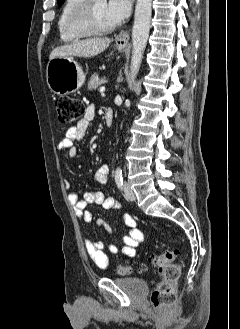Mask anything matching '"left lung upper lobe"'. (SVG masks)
<instances>
[{"label":"left lung upper lobe","instance_id":"1","mask_svg":"<svg viewBox=\"0 0 240 329\" xmlns=\"http://www.w3.org/2000/svg\"><path fill=\"white\" fill-rule=\"evenodd\" d=\"M64 2V0H58V4H62Z\"/></svg>","mask_w":240,"mask_h":329}]
</instances>
